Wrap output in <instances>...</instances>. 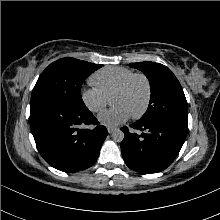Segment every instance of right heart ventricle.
Instances as JSON below:
<instances>
[{
  "label": "right heart ventricle",
  "instance_id": "right-heart-ventricle-1",
  "mask_svg": "<svg viewBox=\"0 0 220 220\" xmlns=\"http://www.w3.org/2000/svg\"><path fill=\"white\" fill-rule=\"evenodd\" d=\"M132 74H134V71L126 67H105L95 72L90 81L106 97H110Z\"/></svg>",
  "mask_w": 220,
  "mask_h": 220
}]
</instances>
